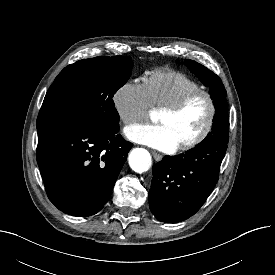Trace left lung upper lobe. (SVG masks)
<instances>
[{
  "mask_svg": "<svg viewBox=\"0 0 275 275\" xmlns=\"http://www.w3.org/2000/svg\"><path fill=\"white\" fill-rule=\"evenodd\" d=\"M185 64L192 73L200 78V81L204 85L209 87L210 95L216 109L212 130L201 143L217 141L227 144L229 140L228 106L226 99L227 92L224 89L221 79L196 61L186 59Z\"/></svg>",
  "mask_w": 275,
  "mask_h": 275,
  "instance_id": "left-lung-upper-lobe-1",
  "label": "left lung upper lobe"
}]
</instances>
